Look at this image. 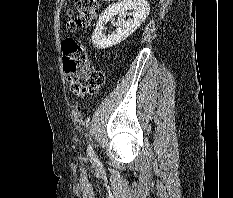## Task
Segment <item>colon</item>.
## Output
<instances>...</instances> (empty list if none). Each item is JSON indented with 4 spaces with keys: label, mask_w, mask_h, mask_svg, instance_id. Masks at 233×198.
Returning <instances> with one entry per match:
<instances>
[{
    "label": "colon",
    "mask_w": 233,
    "mask_h": 198,
    "mask_svg": "<svg viewBox=\"0 0 233 198\" xmlns=\"http://www.w3.org/2000/svg\"><path fill=\"white\" fill-rule=\"evenodd\" d=\"M77 16L66 23L68 32H75L78 28L87 27L99 12L97 0H73ZM63 66L75 93L96 92L103 83V74L90 66L88 56L81 45L73 38H66L62 43Z\"/></svg>",
    "instance_id": "5ec220e1"
}]
</instances>
